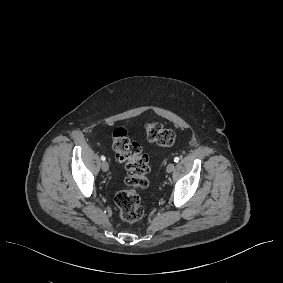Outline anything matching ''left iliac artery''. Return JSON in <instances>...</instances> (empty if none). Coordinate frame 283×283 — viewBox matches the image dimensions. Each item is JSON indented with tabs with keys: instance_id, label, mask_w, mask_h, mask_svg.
I'll return each instance as SVG.
<instances>
[{
	"instance_id": "44dca946",
	"label": "left iliac artery",
	"mask_w": 283,
	"mask_h": 283,
	"mask_svg": "<svg viewBox=\"0 0 283 283\" xmlns=\"http://www.w3.org/2000/svg\"><path fill=\"white\" fill-rule=\"evenodd\" d=\"M178 161H179V157H175V158H174V162L177 163Z\"/></svg>"
}]
</instances>
